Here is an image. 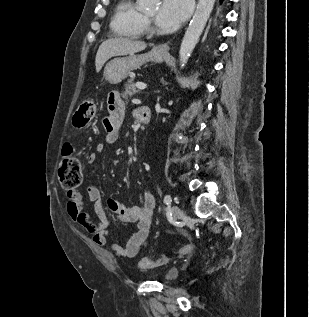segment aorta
<instances>
[{"mask_svg":"<svg viewBox=\"0 0 309 317\" xmlns=\"http://www.w3.org/2000/svg\"><path fill=\"white\" fill-rule=\"evenodd\" d=\"M139 7L143 10L153 9L159 0H137ZM215 0H199L196 11L183 37L179 60L181 69L184 68L190 58L199 37L201 36L207 20L213 10Z\"/></svg>","mask_w":309,"mask_h":317,"instance_id":"762f6f07","label":"aorta"}]
</instances>
